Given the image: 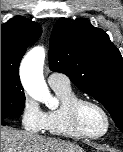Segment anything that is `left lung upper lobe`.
Returning a JSON list of instances; mask_svg holds the SVG:
<instances>
[{
  "mask_svg": "<svg viewBox=\"0 0 123 152\" xmlns=\"http://www.w3.org/2000/svg\"><path fill=\"white\" fill-rule=\"evenodd\" d=\"M49 65L103 104L123 131V59L106 32L87 19H59L50 37Z\"/></svg>",
  "mask_w": 123,
  "mask_h": 152,
  "instance_id": "5c2ea615",
  "label": "left lung upper lobe"
}]
</instances>
